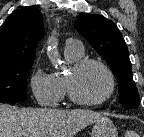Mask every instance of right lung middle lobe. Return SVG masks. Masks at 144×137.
Instances as JSON below:
<instances>
[{
	"instance_id": "right-lung-middle-lobe-1",
	"label": "right lung middle lobe",
	"mask_w": 144,
	"mask_h": 137,
	"mask_svg": "<svg viewBox=\"0 0 144 137\" xmlns=\"http://www.w3.org/2000/svg\"><path fill=\"white\" fill-rule=\"evenodd\" d=\"M34 59L0 63V103L27 100L26 79Z\"/></svg>"
}]
</instances>
